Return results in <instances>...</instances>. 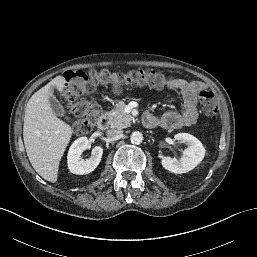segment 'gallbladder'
<instances>
[{
  "label": "gallbladder",
  "mask_w": 257,
  "mask_h": 257,
  "mask_svg": "<svg viewBox=\"0 0 257 257\" xmlns=\"http://www.w3.org/2000/svg\"><path fill=\"white\" fill-rule=\"evenodd\" d=\"M49 103L54 114L64 118L67 122L71 121L70 118L66 115V112L61 103L53 95V91L50 92Z\"/></svg>",
  "instance_id": "obj_1"
}]
</instances>
